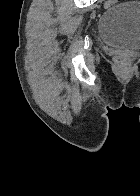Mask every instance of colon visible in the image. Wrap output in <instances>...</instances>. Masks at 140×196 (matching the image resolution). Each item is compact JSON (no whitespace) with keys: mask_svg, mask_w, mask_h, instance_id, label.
<instances>
[{"mask_svg":"<svg viewBox=\"0 0 140 196\" xmlns=\"http://www.w3.org/2000/svg\"><path fill=\"white\" fill-rule=\"evenodd\" d=\"M118 3V0H108L105 3L106 8H111ZM129 57L126 54L120 53L115 56V64L120 71H126L129 67Z\"/></svg>","mask_w":140,"mask_h":196,"instance_id":"colon-1","label":"colon"}]
</instances>
